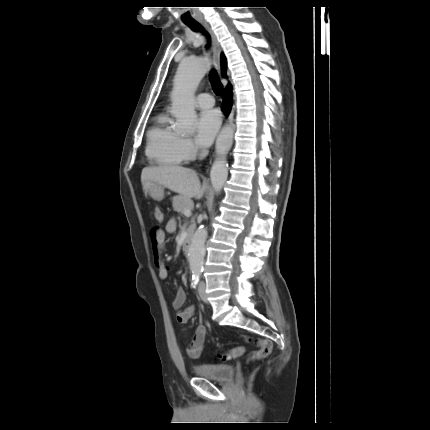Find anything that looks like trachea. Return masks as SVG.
<instances>
[{
  "mask_svg": "<svg viewBox=\"0 0 430 430\" xmlns=\"http://www.w3.org/2000/svg\"><path fill=\"white\" fill-rule=\"evenodd\" d=\"M192 30L199 31L201 30V26L196 23L187 24ZM209 80L211 82L212 88L217 95H220L223 90V85L219 79V76L215 71H212L209 76Z\"/></svg>",
  "mask_w": 430,
  "mask_h": 430,
  "instance_id": "3493384b",
  "label": "trachea"
}]
</instances>
